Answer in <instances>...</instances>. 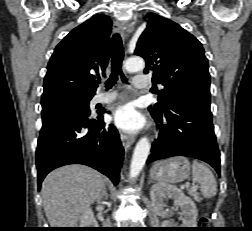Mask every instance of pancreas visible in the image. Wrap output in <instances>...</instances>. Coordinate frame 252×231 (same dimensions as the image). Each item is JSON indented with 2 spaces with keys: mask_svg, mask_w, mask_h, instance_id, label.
Wrapping results in <instances>:
<instances>
[{
  "mask_svg": "<svg viewBox=\"0 0 252 231\" xmlns=\"http://www.w3.org/2000/svg\"><path fill=\"white\" fill-rule=\"evenodd\" d=\"M190 195L193 196L195 199H199V196H198V193H196L194 190H191L190 192Z\"/></svg>",
  "mask_w": 252,
  "mask_h": 231,
  "instance_id": "cf45deb5",
  "label": "pancreas"
}]
</instances>
